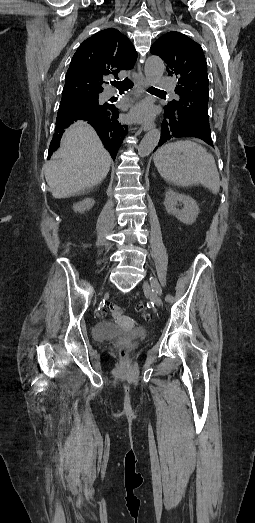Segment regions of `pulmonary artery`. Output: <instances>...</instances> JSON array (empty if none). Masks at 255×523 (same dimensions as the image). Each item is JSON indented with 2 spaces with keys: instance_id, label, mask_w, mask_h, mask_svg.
<instances>
[{
  "instance_id": "e3ab8cb5",
  "label": "pulmonary artery",
  "mask_w": 255,
  "mask_h": 523,
  "mask_svg": "<svg viewBox=\"0 0 255 523\" xmlns=\"http://www.w3.org/2000/svg\"><path fill=\"white\" fill-rule=\"evenodd\" d=\"M158 80H160L158 88L163 91L168 90V93L170 94L169 95L170 100H172V101L177 100L178 95H177V93H175V90H174V88H175L174 79H172V78H162L161 79V77H158ZM106 94L108 97H115V96L119 95L118 91L113 88L108 89Z\"/></svg>"
}]
</instances>
